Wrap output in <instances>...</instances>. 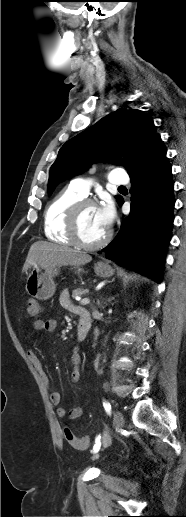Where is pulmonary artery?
I'll return each mask as SVG.
<instances>
[{"instance_id":"1","label":"pulmonary artery","mask_w":186,"mask_h":517,"mask_svg":"<svg viewBox=\"0 0 186 517\" xmlns=\"http://www.w3.org/2000/svg\"><path fill=\"white\" fill-rule=\"evenodd\" d=\"M108 180L114 185H126L129 182V176L124 169H113L108 175ZM70 186L83 197L87 196L90 190V182L84 178L72 180Z\"/></svg>"}]
</instances>
